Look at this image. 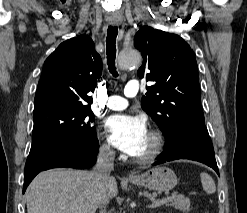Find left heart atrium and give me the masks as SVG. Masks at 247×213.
<instances>
[{
	"label": "left heart atrium",
	"instance_id": "39dd6f15",
	"mask_svg": "<svg viewBox=\"0 0 247 213\" xmlns=\"http://www.w3.org/2000/svg\"><path fill=\"white\" fill-rule=\"evenodd\" d=\"M105 126L114 145L125 153L136 156L142 150L148 135L143 118L113 115L106 120Z\"/></svg>",
	"mask_w": 247,
	"mask_h": 213
}]
</instances>
